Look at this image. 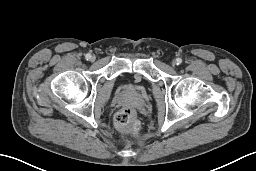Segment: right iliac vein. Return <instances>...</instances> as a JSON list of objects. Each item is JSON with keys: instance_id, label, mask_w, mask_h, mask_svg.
<instances>
[{"instance_id": "right-iliac-vein-1", "label": "right iliac vein", "mask_w": 256, "mask_h": 171, "mask_svg": "<svg viewBox=\"0 0 256 171\" xmlns=\"http://www.w3.org/2000/svg\"><path fill=\"white\" fill-rule=\"evenodd\" d=\"M90 60L93 62V61H95V56H92L91 58H90Z\"/></svg>"}]
</instances>
